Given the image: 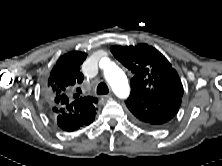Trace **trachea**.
Returning <instances> with one entry per match:
<instances>
[{
    "mask_svg": "<svg viewBox=\"0 0 222 166\" xmlns=\"http://www.w3.org/2000/svg\"><path fill=\"white\" fill-rule=\"evenodd\" d=\"M108 92H109L108 86L103 82L99 83V85L97 86V94L104 95L108 94Z\"/></svg>",
    "mask_w": 222,
    "mask_h": 166,
    "instance_id": "obj_1",
    "label": "trachea"
}]
</instances>
